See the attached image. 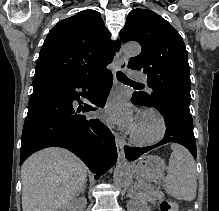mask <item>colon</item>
Masks as SVG:
<instances>
[{
  "label": "colon",
  "instance_id": "obj_1",
  "mask_svg": "<svg viewBox=\"0 0 219 211\" xmlns=\"http://www.w3.org/2000/svg\"><path fill=\"white\" fill-rule=\"evenodd\" d=\"M160 210L161 211H178V205L176 202L169 199H162L160 201Z\"/></svg>",
  "mask_w": 219,
  "mask_h": 211
}]
</instances>
